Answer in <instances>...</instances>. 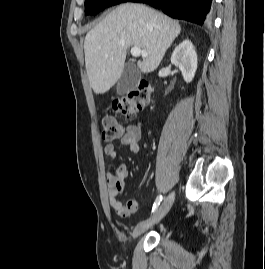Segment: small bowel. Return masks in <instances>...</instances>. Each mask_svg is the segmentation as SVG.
<instances>
[{"mask_svg": "<svg viewBox=\"0 0 265 269\" xmlns=\"http://www.w3.org/2000/svg\"><path fill=\"white\" fill-rule=\"evenodd\" d=\"M142 134L141 125H130L126 132L120 137L119 145L127 147L130 152L138 153L140 150V138ZM105 154L115 159L117 157L116 145L108 143L104 147ZM128 168L121 164L114 172L109 171L106 183L109 191V203L114 211L122 217H127L136 212L138 203L135 199H129L126 203L120 201L119 196L125 188V179L128 177Z\"/></svg>", "mask_w": 265, "mask_h": 269, "instance_id": "c3829d8e", "label": "small bowel"}]
</instances>
